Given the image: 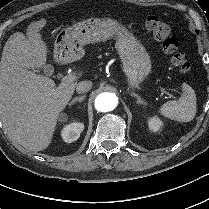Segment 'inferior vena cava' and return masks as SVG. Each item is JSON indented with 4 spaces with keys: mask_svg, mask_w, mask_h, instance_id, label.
I'll use <instances>...</instances> for the list:
<instances>
[{
    "mask_svg": "<svg viewBox=\"0 0 209 209\" xmlns=\"http://www.w3.org/2000/svg\"><path fill=\"white\" fill-rule=\"evenodd\" d=\"M92 87L91 81H81L78 84H76V92L77 93H86L88 92Z\"/></svg>",
    "mask_w": 209,
    "mask_h": 209,
    "instance_id": "inferior-vena-cava-1",
    "label": "inferior vena cava"
}]
</instances>
